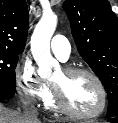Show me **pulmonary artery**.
<instances>
[{
	"instance_id": "1",
	"label": "pulmonary artery",
	"mask_w": 118,
	"mask_h": 123,
	"mask_svg": "<svg viewBox=\"0 0 118 123\" xmlns=\"http://www.w3.org/2000/svg\"><path fill=\"white\" fill-rule=\"evenodd\" d=\"M50 48L54 55L61 61H66L71 53L70 43L62 35H56L52 38Z\"/></svg>"
}]
</instances>
